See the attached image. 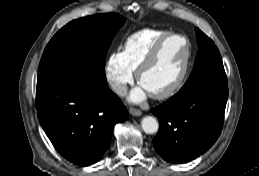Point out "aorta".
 <instances>
[{"label":"aorta","mask_w":259,"mask_h":176,"mask_svg":"<svg viewBox=\"0 0 259 176\" xmlns=\"http://www.w3.org/2000/svg\"><path fill=\"white\" fill-rule=\"evenodd\" d=\"M141 126L145 133L154 134L159 129L158 121L152 116H145L141 120Z\"/></svg>","instance_id":"762f6f07"}]
</instances>
